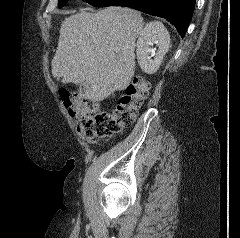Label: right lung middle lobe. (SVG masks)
Returning a JSON list of instances; mask_svg holds the SVG:
<instances>
[{
  "instance_id": "right-lung-middle-lobe-1",
  "label": "right lung middle lobe",
  "mask_w": 240,
  "mask_h": 238,
  "mask_svg": "<svg viewBox=\"0 0 240 238\" xmlns=\"http://www.w3.org/2000/svg\"><path fill=\"white\" fill-rule=\"evenodd\" d=\"M59 1V7H63L68 0H58ZM98 0H86V2H88L91 5H94Z\"/></svg>"
}]
</instances>
